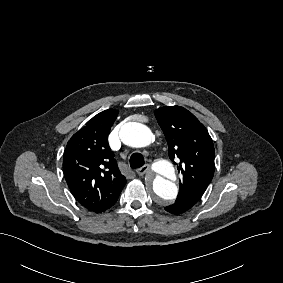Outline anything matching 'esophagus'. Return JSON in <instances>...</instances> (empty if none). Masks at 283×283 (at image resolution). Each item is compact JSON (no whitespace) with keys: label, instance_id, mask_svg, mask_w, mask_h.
<instances>
[{"label":"esophagus","instance_id":"1","mask_svg":"<svg viewBox=\"0 0 283 283\" xmlns=\"http://www.w3.org/2000/svg\"><path fill=\"white\" fill-rule=\"evenodd\" d=\"M150 170V165L146 164L144 166H142L141 168L137 169L136 172L139 175H144L146 172H148Z\"/></svg>","mask_w":283,"mask_h":283}]
</instances>
